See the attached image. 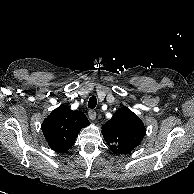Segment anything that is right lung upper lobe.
<instances>
[{
  "mask_svg": "<svg viewBox=\"0 0 194 194\" xmlns=\"http://www.w3.org/2000/svg\"><path fill=\"white\" fill-rule=\"evenodd\" d=\"M89 124L82 111L60 105L43 121L42 132L52 150L66 152L73 146L80 130Z\"/></svg>",
  "mask_w": 194,
  "mask_h": 194,
  "instance_id": "1",
  "label": "right lung upper lobe"
}]
</instances>
